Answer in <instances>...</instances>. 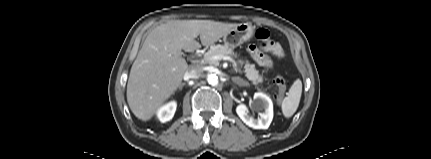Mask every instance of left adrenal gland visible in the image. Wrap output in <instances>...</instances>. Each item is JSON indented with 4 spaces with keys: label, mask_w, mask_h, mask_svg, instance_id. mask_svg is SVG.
I'll use <instances>...</instances> for the list:
<instances>
[{
    "label": "left adrenal gland",
    "mask_w": 431,
    "mask_h": 159,
    "mask_svg": "<svg viewBox=\"0 0 431 159\" xmlns=\"http://www.w3.org/2000/svg\"><path fill=\"white\" fill-rule=\"evenodd\" d=\"M232 81L239 86H248V84L244 82L242 79H240L239 77L237 78L232 77Z\"/></svg>",
    "instance_id": "obj_1"
}]
</instances>
